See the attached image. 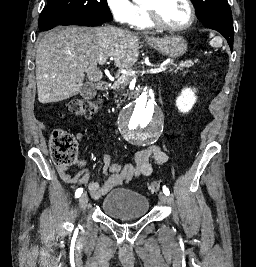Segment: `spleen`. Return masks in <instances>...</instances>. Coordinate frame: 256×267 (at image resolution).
<instances>
[{"instance_id":"obj_1","label":"spleen","mask_w":256,"mask_h":267,"mask_svg":"<svg viewBox=\"0 0 256 267\" xmlns=\"http://www.w3.org/2000/svg\"><path fill=\"white\" fill-rule=\"evenodd\" d=\"M209 38H212L210 42V46H212V48H221L223 40L220 36H215V34L211 32Z\"/></svg>"}]
</instances>
